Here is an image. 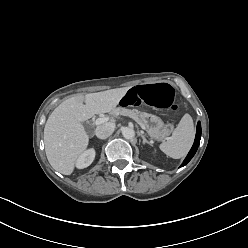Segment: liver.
<instances>
[{
    "label": "liver",
    "mask_w": 248,
    "mask_h": 248,
    "mask_svg": "<svg viewBox=\"0 0 248 248\" xmlns=\"http://www.w3.org/2000/svg\"><path fill=\"white\" fill-rule=\"evenodd\" d=\"M129 89L77 94L54 109L45 124L44 144L47 159L56 171L72 174L79 156L89 144V135L81 122L95 114L111 112Z\"/></svg>",
    "instance_id": "liver-1"
}]
</instances>
